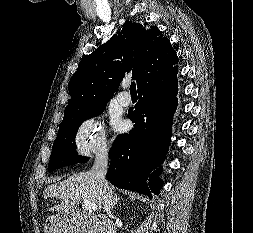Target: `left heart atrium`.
I'll list each match as a JSON object with an SVG mask.
<instances>
[{"mask_svg": "<svg viewBox=\"0 0 253 233\" xmlns=\"http://www.w3.org/2000/svg\"><path fill=\"white\" fill-rule=\"evenodd\" d=\"M114 125H115V128L120 131L124 130L126 127L123 121H116Z\"/></svg>", "mask_w": 253, "mask_h": 233, "instance_id": "1", "label": "left heart atrium"}]
</instances>
